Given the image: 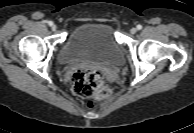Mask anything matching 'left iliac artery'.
I'll return each mask as SVG.
<instances>
[{"mask_svg":"<svg viewBox=\"0 0 194 133\" xmlns=\"http://www.w3.org/2000/svg\"><path fill=\"white\" fill-rule=\"evenodd\" d=\"M137 29L138 30H141L142 29V26L141 25H137Z\"/></svg>","mask_w":194,"mask_h":133,"instance_id":"obj_1","label":"left iliac artery"}]
</instances>
